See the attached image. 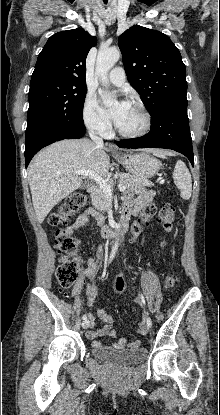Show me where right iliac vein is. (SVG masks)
<instances>
[{
  "label": "right iliac vein",
  "mask_w": 220,
  "mask_h": 415,
  "mask_svg": "<svg viewBox=\"0 0 220 415\" xmlns=\"http://www.w3.org/2000/svg\"><path fill=\"white\" fill-rule=\"evenodd\" d=\"M90 326V321L89 320H84L82 322V328L83 329H87Z\"/></svg>",
  "instance_id": "right-iliac-vein-1"
}]
</instances>
